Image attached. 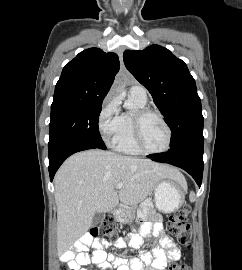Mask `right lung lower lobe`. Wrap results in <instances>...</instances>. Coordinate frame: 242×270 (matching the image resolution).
<instances>
[{"label": "right lung lower lobe", "mask_w": 242, "mask_h": 270, "mask_svg": "<svg viewBox=\"0 0 242 270\" xmlns=\"http://www.w3.org/2000/svg\"><path fill=\"white\" fill-rule=\"evenodd\" d=\"M102 149L105 150L106 147L102 146H96L91 143L87 142H80V143H69L62 145L60 147H57L52 152L49 153V174H50V180L52 181L54 178V175L60 165L64 162L66 158H68L70 155L78 152L83 151L87 149Z\"/></svg>", "instance_id": "1"}]
</instances>
